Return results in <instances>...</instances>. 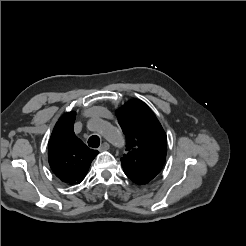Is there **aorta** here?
I'll list each match as a JSON object with an SVG mask.
<instances>
[{"label": "aorta", "mask_w": 246, "mask_h": 246, "mask_svg": "<svg viewBox=\"0 0 246 246\" xmlns=\"http://www.w3.org/2000/svg\"><path fill=\"white\" fill-rule=\"evenodd\" d=\"M95 130L98 131L111 144L120 146L123 143V135L117 128L109 123L96 119Z\"/></svg>", "instance_id": "762f6f07"}]
</instances>
